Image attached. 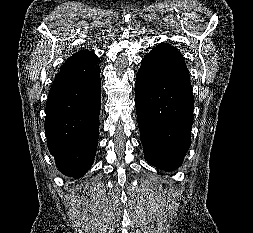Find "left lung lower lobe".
<instances>
[{
	"label": "left lung lower lobe",
	"mask_w": 253,
	"mask_h": 233,
	"mask_svg": "<svg viewBox=\"0 0 253 233\" xmlns=\"http://www.w3.org/2000/svg\"><path fill=\"white\" fill-rule=\"evenodd\" d=\"M137 121L146 161L166 171L181 166L191 144L194 99L183 56L160 44L136 75Z\"/></svg>",
	"instance_id": "left-lung-lower-lobe-1"
}]
</instances>
